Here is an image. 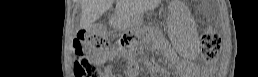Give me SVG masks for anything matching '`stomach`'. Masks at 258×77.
I'll use <instances>...</instances> for the list:
<instances>
[{
    "mask_svg": "<svg viewBox=\"0 0 258 77\" xmlns=\"http://www.w3.org/2000/svg\"><path fill=\"white\" fill-rule=\"evenodd\" d=\"M127 23H128L127 19H126V18H123L122 24H123V25H126Z\"/></svg>",
    "mask_w": 258,
    "mask_h": 77,
    "instance_id": "obj_1",
    "label": "stomach"
}]
</instances>
